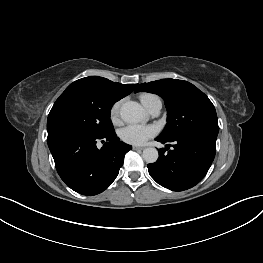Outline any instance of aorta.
I'll list each match as a JSON object with an SVG mask.
<instances>
[{"label":"aorta","instance_id":"obj_1","mask_svg":"<svg viewBox=\"0 0 263 263\" xmlns=\"http://www.w3.org/2000/svg\"><path fill=\"white\" fill-rule=\"evenodd\" d=\"M120 116L127 123H138L146 119L144 109L134 101H127L121 106ZM142 156L147 163H154L159 155L156 148L149 147L143 150Z\"/></svg>","mask_w":263,"mask_h":263}]
</instances>
